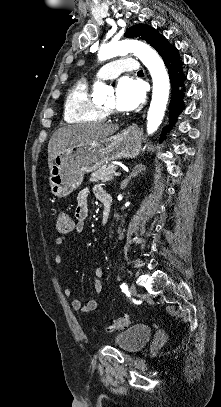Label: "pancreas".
<instances>
[{"label":"pancreas","mask_w":221,"mask_h":407,"mask_svg":"<svg viewBox=\"0 0 221 407\" xmlns=\"http://www.w3.org/2000/svg\"><path fill=\"white\" fill-rule=\"evenodd\" d=\"M116 171V167L114 165L104 166L102 168L97 169L95 172L91 174L90 181L91 182H109L113 180V174Z\"/></svg>","instance_id":"obj_1"}]
</instances>
